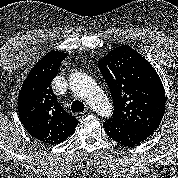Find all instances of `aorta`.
Returning <instances> with one entry per match:
<instances>
[{"label": "aorta", "instance_id": "obj_1", "mask_svg": "<svg viewBox=\"0 0 178 178\" xmlns=\"http://www.w3.org/2000/svg\"><path fill=\"white\" fill-rule=\"evenodd\" d=\"M69 84L73 93L84 99L98 114L105 117L111 115L112 105L90 76L81 72L73 73L69 78Z\"/></svg>", "mask_w": 178, "mask_h": 178}]
</instances>
